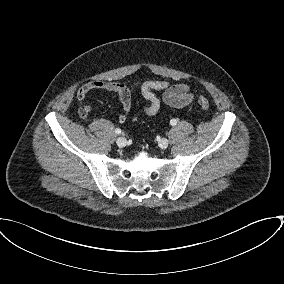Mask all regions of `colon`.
<instances>
[{
    "instance_id": "5ec220e1",
    "label": "colon",
    "mask_w": 284,
    "mask_h": 284,
    "mask_svg": "<svg viewBox=\"0 0 284 284\" xmlns=\"http://www.w3.org/2000/svg\"><path fill=\"white\" fill-rule=\"evenodd\" d=\"M198 103L203 110H208L209 102L204 96L200 95L198 97Z\"/></svg>"
}]
</instances>
